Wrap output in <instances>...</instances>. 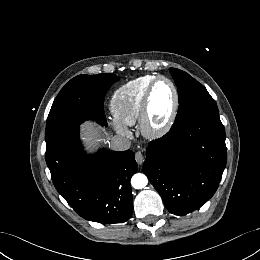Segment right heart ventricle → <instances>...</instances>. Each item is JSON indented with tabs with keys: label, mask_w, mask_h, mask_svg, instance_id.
Here are the masks:
<instances>
[{
	"label": "right heart ventricle",
	"mask_w": 260,
	"mask_h": 260,
	"mask_svg": "<svg viewBox=\"0 0 260 260\" xmlns=\"http://www.w3.org/2000/svg\"><path fill=\"white\" fill-rule=\"evenodd\" d=\"M156 77L155 75H145L114 91L110 106L117 121L125 126L134 125L139 121L144 95Z\"/></svg>",
	"instance_id": "right-heart-ventricle-1"
}]
</instances>
